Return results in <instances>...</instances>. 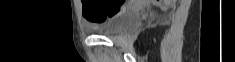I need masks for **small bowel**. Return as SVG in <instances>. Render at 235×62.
Returning a JSON list of instances; mask_svg holds the SVG:
<instances>
[{"mask_svg":"<svg viewBox=\"0 0 235 62\" xmlns=\"http://www.w3.org/2000/svg\"><path fill=\"white\" fill-rule=\"evenodd\" d=\"M85 17V16H84ZM85 19L88 21L90 27L95 28L98 24H93L89 19L85 17Z\"/></svg>","mask_w":235,"mask_h":62,"instance_id":"c3829d8e","label":"small bowel"}]
</instances>
